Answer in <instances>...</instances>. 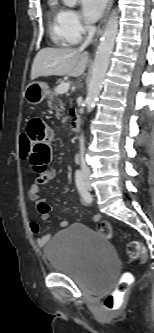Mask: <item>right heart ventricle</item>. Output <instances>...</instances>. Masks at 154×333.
<instances>
[{
    "mask_svg": "<svg viewBox=\"0 0 154 333\" xmlns=\"http://www.w3.org/2000/svg\"><path fill=\"white\" fill-rule=\"evenodd\" d=\"M64 10L56 3L49 10L48 24L52 40L59 46L73 44L67 38L63 24Z\"/></svg>",
    "mask_w": 154,
    "mask_h": 333,
    "instance_id": "1",
    "label": "right heart ventricle"
}]
</instances>
